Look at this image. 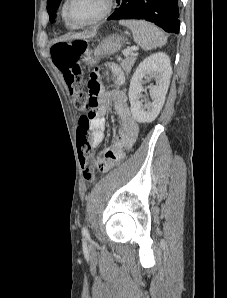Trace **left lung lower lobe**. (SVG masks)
I'll return each mask as SVG.
<instances>
[{"instance_id": "left-lung-lower-lobe-1", "label": "left lung lower lobe", "mask_w": 227, "mask_h": 298, "mask_svg": "<svg viewBox=\"0 0 227 298\" xmlns=\"http://www.w3.org/2000/svg\"><path fill=\"white\" fill-rule=\"evenodd\" d=\"M119 7L107 20L145 19L166 32L178 33V0H117Z\"/></svg>"}]
</instances>
